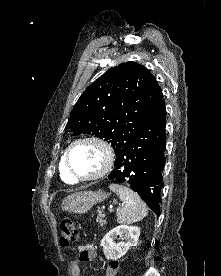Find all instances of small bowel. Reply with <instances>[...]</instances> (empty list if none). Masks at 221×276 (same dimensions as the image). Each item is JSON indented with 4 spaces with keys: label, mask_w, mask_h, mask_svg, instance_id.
Instances as JSON below:
<instances>
[{
    "label": "small bowel",
    "mask_w": 221,
    "mask_h": 276,
    "mask_svg": "<svg viewBox=\"0 0 221 276\" xmlns=\"http://www.w3.org/2000/svg\"><path fill=\"white\" fill-rule=\"evenodd\" d=\"M79 261H93L96 257L94 247L91 244L81 245L78 248ZM72 276H81V270L78 261H73L70 265Z\"/></svg>",
    "instance_id": "c3829d8e"
}]
</instances>
